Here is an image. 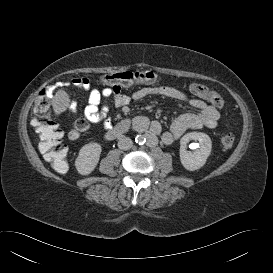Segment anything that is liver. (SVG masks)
I'll return each mask as SVG.
<instances>
[{
    "label": "liver",
    "mask_w": 273,
    "mask_h": 273,
    "mask_svg": "<svg viewBox=\"0 0 273 273\" xmlns=\"http://www.w3.org/2000/svg\"><path fill=\"white\" fill-rule=\"evenodd\" d=\"M70 104L69 95L64 90H58L53 97L52 106L56 115L67 110Z\"/></svg>",
    "instance_id": "obj_1"
}]
</instances>
